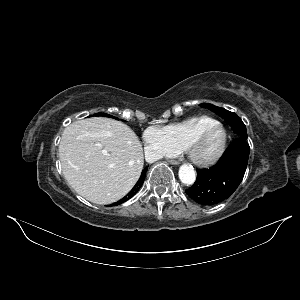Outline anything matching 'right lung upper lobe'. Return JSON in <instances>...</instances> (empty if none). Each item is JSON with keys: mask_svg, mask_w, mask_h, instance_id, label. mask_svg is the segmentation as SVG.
<instances>
[{"mask_svg": "<svg viewBox=\"0 0 300 300\" xmlns=\"http://www.w3.org/2000/svg\"><path fill=\"white\" fill-rule=\"evenodd\" d=\"M140 187H141V185H140L139 183H137L136 186H135V188H136V189H135V190H136L135 192H137V191L140 189Z\"/></svg>", "mask_w": 300, "mask_h": 300, "instance_id": "cb5924a9", "label": "right lung upper lobe"}]
</instances>
